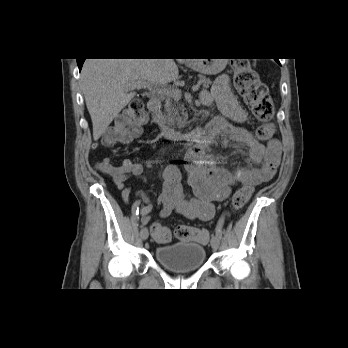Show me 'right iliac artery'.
Returning a JSON list of instances; mask_svg holds the SVG:
<instances>
[{"mask_svg": "<svg viewBox=\"0 0 348 348\" xmlns=\"http://www.w3.org/2000/svg\"><path fill=\"white\" fill-rule=\"evenodd\" d=\"M139 204H140V199H135V201L132 202V207H133V220L138 221L140 219V211H139Z\"/></svg>", "mask_w": 348, "mask_h": 348, "instance_id": "82829eb1", "label": "right iliac artery"}]
</instances>
